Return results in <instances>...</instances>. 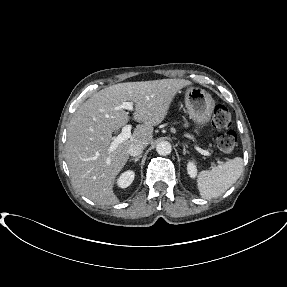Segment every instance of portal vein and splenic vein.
I'll list each match as a JSON object with an SVG mask.
<instances>
[{"label": "portal vein and splenic vein", "mask_w": 287, "mask_h": 287, "mask_svg": "<svg viewBox=\"0 0 287 287\" xmlns=\"http://www.w3.org/2000/svg\"><path fill=\"white\" fill-rule=\"evenodd\" d=\"M116 109H126L129 111H133L134 107H133V103L132 102H123L120 106H118ZM131 129H132V125L128 124L125 125L122 128L121 133L116 136L115 138L112 139L111 145L109 147L110 151H114L116 150V148L118 147L119 144L123 143L124 141L128 140L131 137ZM196 150L201 153L202 155L205 156H210L211 153L203 150L199 147H196Z\"/></svg>", "instance_id": "portal-vein-and-splenic-vein-1"}]
</instances>
